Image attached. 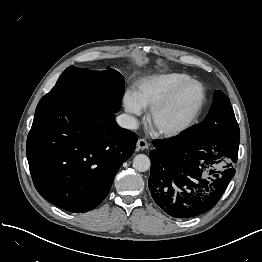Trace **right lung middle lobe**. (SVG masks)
<instances>
[{"mask_svg":"<svg viewBox=\"0 0 262 262\" xmlns=\"http://www.w3.org/2000/svg\"><path fill=\"white\" fill-rule=\"evenodd\" d=\"M124 87L123 76L114 69L93 71L71 66L45 96H85L102 104L108 112L116 113L121 108Z\"/></svg>","mask_w":262,"mask_h":262,"instance_id":"right-lung-middle-lobe-1","label":"right lung middle lobe"}]
</instances>
